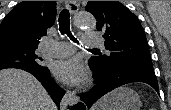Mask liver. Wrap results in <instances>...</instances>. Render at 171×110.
<instances>
[{
	"label": "liver",
	"instance_id": "1",
	"mask_svg": "<svg viewBox=\"0 0 171 110\" xmlns=\"http://www.w3.org/2000/svg\"><path fill=\"white\" fill-rule=\"evenodd\" d=\"M0 110H57V107L33 75L19 69H4L0 71Z\"/></svg>",
	"mask_w": 171,
	"mask_h": 110
}]
</instances>
